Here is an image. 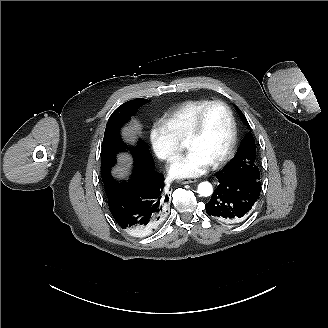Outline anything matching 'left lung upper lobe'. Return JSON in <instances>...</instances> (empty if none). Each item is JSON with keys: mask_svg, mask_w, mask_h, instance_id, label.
Instances as JSON below:
<instances>
[{"mask_svg": "<svg viewBox=\"0 0 328 328\" xmlns=\"http://www.w3.org/2000/svg\"><path fill=\"white\" fill-rule=\"evenodd\" d=\"M236 109L243 122L246 125H249L241 110L237 107ZM255 157H256V145L253 135L251 134V132H249L245 136L235 157L231 160V162L228 165H226L223 171L251 174V175H255L258 179H260L259 168L257 166V162L255 161Z\"/></svg>", "mask_w": 328, "mask_h": 328, "instance_id": "obj_1", "label": "left lung upper lobe"}]
</instances>
